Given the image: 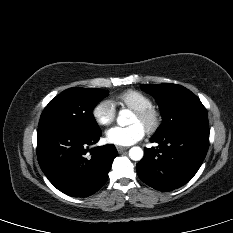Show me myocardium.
<instances>
[{
  "label": "myocardium",
  "mask_w": 233,
  "mask_h": 233,
  "mask_svg": "<svg viewBox=\"0 0 233 233\" xmlns=\"http://www.w3.org/2000/svg\"><path fill=\"white\" fill-rule=\"evenodd\" d=\"M134 114L145 124V131L154 134L161 126L162 115L154 107L134 111Z\"/></svg>",
  "instance_id": "1"
}]
</instances>
